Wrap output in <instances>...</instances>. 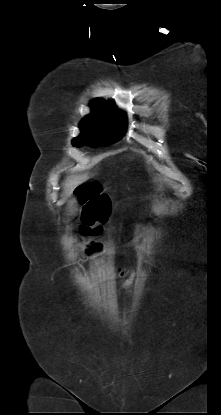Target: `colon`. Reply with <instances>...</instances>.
Instances as JSON below:
<instances>
[{"label": "colon", "instance_id": "obj_1", "mask_svg": "<svg viewBox=\"0 0 221 415\" xmlns=\"http://www.w3.org/2000/svg\"><path fill=\"white\" fill-rule=\"evenodd\" d=\"M80 201L83 204V222L82 232L86 235H99L101 227L95 226L97 223H103L110 212V204L107 197L100 194L99 189L95 185H89L80 191ZM113 272L117 274L116 281L120 284L121 290H127L132 287L135 282L133 275H127V270L123 265H115Z\"/></svg>", "mask_w": 221, "mask_h": 415}]
</instances>
